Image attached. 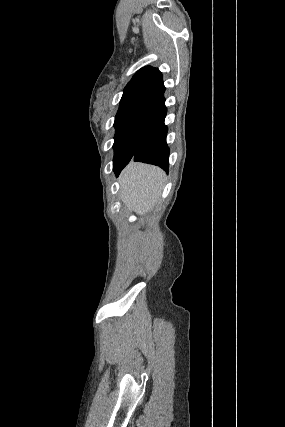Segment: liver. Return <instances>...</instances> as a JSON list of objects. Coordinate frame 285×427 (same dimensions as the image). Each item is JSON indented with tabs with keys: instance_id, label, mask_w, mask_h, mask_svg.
<instances>
[{
	"instance_id": "liver-1",
	"label": "liver",
	"mask_w": 285,
	"mask_h": 427,
	"mask_svg": "<svg viewBox=\"0 0 285 427\" xmlns=\"http://www.w3.org/2000/svg\"><path fill=\"white\" fill-rule=\"evenodd\" d=\"M123 204L143 216L157 203L165 180V172L159 167L130 162L120 175Z\"/></svg>"
}]
</instances>
